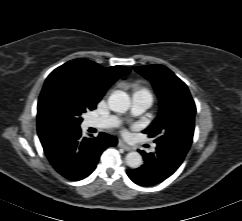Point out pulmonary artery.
I'll return each instance as SVG.
<instances>
[{
  "label": "pulmonary artery",
  "instance_id": "pulmonary-artery-1",
  "mask_svg": "<svg viewBox=\"0 0 242 221\" xmlns=\"http://www.w3.org/2000/svg\"><path fill=\"white\" fill-rule=\"evenodd\" d=\"M152 104V99L147 95H133L132 96V115H139L148 109ZM120 120L115 116L98 117L89 120L88 125L90 127L98 129H110L117 127Z\"/></svg>",
  "mask_w": 242,
  "mask_h": 221
}]
</instances>
